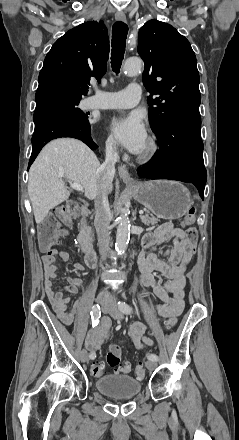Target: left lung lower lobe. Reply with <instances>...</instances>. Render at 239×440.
I'll use <instances>...</instances> for the list:
<instances>
[{
	"label": "left lung lower lobe",
	"instance_id": "0a47b994",
	"mask_svg": "<svg viewBox=\"0 0 239 440\" xmlns=\"http://www.w3.org/2000/svg\"><path fill=\"white\" fill-rule=\"evenodd\" d=\"M200 127V114L184 113L166 121L155 133L160 149L150 165L137 170L139 177L192 183L204 199L207 172Z\"/></svg>",
	"mask_w": 239,
	"mask_h": 440
}]
</instances>
